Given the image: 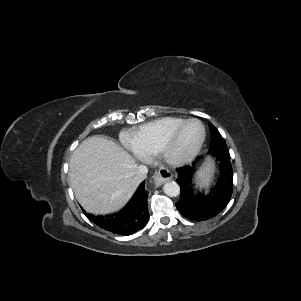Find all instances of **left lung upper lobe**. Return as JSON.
Returning a JSON list of instances; mask_svg holds the SVG:
<instances>
[{
    "mask_svg": "<svg viewBox=\"0 0 301 301\" xmlns=\"http://www.w3.org/2000/svg\"><path fill=\"white\" fill-rule=\"evenodd\" d=\"M209 127L211 133L210 153L220 152L221 149H228L224 138L221 136L217 128L211 123H209Z\"/></svg>",
    "mask_w": 301,
    "mask_h": 301,
    "instance_id": "1",
    "label": "left lung upper lobe"
}]
</instances>
